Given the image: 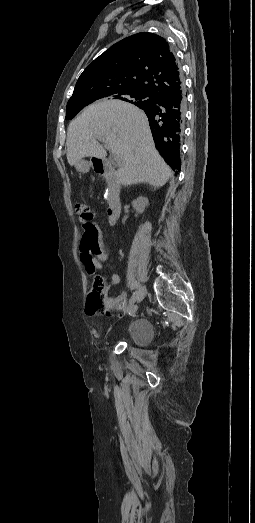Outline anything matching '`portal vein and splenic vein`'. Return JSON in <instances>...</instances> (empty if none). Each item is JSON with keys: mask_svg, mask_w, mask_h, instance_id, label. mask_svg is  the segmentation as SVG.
Segmentation results:
<instances>
[{"mask_svg": "<svg viewBox=\"0 0 255 523\" xmlns=\"http://www.w3.org/2000/svg\"><path fill=\"white\" fill-rule=\"evenodd\" d=\"M98 140H99V138H98ZM113 154H114V152H113ZM115 156H116V154H115ZM114 160H115V162H117L116 170L121 169L123 167V164L121 163V162H123L122 158H118V156H116V158H114Z\"/></svg>", "mask_w": 255, "mask_h": 523, "instance_id": "18ae733b", "label": "portal vein and splenic vein"}]
</instances>
